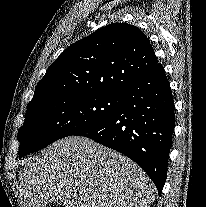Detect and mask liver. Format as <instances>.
<instances>
[{"instance_id": "6515ba94", "label": "liver", "mask_w": 206, "mask_h": 207, "mask_svg": "<svg viewBox=\"0 0 206 207\" xmlns=\"http://www.w3.org/2000/svg\"><path fill=\"white\" fill-rule=\"evenodd\" d=\"M28 207H150L155 186L132 160L81 136L30 156L19 173Z\"/></svg>"}]
</instances>
